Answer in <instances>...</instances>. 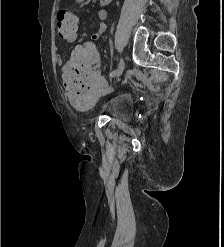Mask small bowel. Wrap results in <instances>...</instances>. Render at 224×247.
<instances>
[{"mask_svg":"<svg viewBox=\"0 0 224 247\" xmlns=\"http://www.w3.org/2000/svg\"><path fill=\"white\" fill-rule=\"evenodd\" d=\"M77 1H82V0H77ZM97 17L99 19V25L97 27V29L95 30V32L91 35V39L92 40H96L98 39L104 32L106 29V25H105V19L107 17V13L105 10H99L97 13ZM76 39V35H74L71 38H68L67 41L68 42H73ZM57 63L59 65H61L63 63V59L60 55L57 56Z\"/></svg>","mask_w":224,"mask_h":247,"instance_id":"1","label":"small bowel"}]
</instances>
